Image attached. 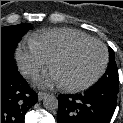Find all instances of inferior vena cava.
Returning <instances> with one entry per match:
<instances>
[{
	"label": "inferior vena cava",
	"instance_id": "1",
	"mask_svg": "<svg viewBox=\"0 0 123 123\" xmlns=\"http://www.w3.org/2000/svg\"><path fill=\"white\" fill-rule=\"evenodd\" d=\"M35 71L34 70H26L23 72L24 75H31V74H34Z\"/></svg>",
	"mask_w": 123,
	"mask_h": 123
}]
</instances>
